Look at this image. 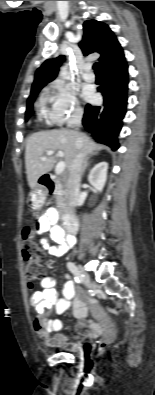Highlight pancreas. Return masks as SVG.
<instances>
[{"instance_id": "cf45deb5", "label": "pancreas", "mask_w": 155, "mask_h": 395, "mask_svg": "<svg viewBox=\"0 0 155 395\" xmlns=\"http://www.w3.org/2000/svg\"><path fill=\"white\" fill-rule=\"evenodd\" d=\"M54 195H55V198H56L57 208H59L63 212H66V203H65L66 192L64 190L63 185L60 183L59 180H55Z\"/></svg>"}]
</instances>
